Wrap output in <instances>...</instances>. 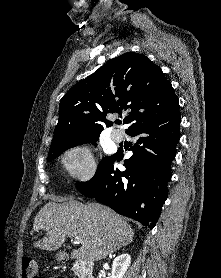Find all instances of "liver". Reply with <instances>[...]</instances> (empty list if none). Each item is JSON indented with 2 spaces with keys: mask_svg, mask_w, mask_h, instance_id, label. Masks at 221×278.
Masks as SVG:
<instances>
[{
  "mask_svg": "<svg viewBox=\"0 0 221 278\" xmlns=\"http://www.w3.org/2000/svg\"><path fill=\"white\" fill-rule=\"evenodd\" d=\"M47 203L34 218L33 230H44L46 236L34 248L54 251L66 237H80L82 246L71 253L72 258L100 261L133 241L130 225L110 208L98 203L82 204L59 199Z\"/></svg>",
  "mask_w": 221,
  "mask_h": 278,
  "instance_id": "obj_1",
  "label": "liver"
}]
</instances>
